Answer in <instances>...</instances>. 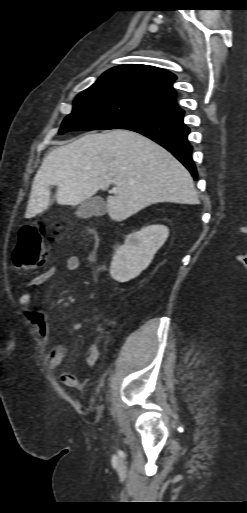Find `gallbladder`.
I'll list each match as a JSON object with an SVG mask.
<instances>
[{
  "instance_id": "bac80fb5",
  "label": "gallbladder",
  "mask_w": 247,
  "mask_h": 513,
  "mask_svg": "<svg viewBox=\"0 0 247 513\" xmlns=\"http://www.w3.org/2000/svg\"><path fill=\"white\" fill-rule=\"evenodd\" d=\"M107 206L101 197H92L82 202L75 214L82 219L92 216H102L106 213Z\"/></svg>"
}]
</instances>
